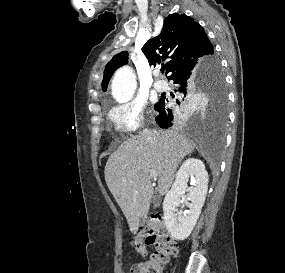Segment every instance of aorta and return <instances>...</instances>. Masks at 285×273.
<instances>
[{
    "mask_svg": "<svg viewBox=\"0 0 285 273\" xmlns=\"http://www.w3.org/2000/svg\"><path fill=\"white\" fill-rule=\"evenodd\" d=\"M136 75L130 67L120 68L112 81V95L119 103L129 101L136 89Z\"/></svg>",
    "mask_w": 285,
    "mask_h": 273,
    "instance_id": "obj_1",
    "label": "aorta"
}]
</instances>
